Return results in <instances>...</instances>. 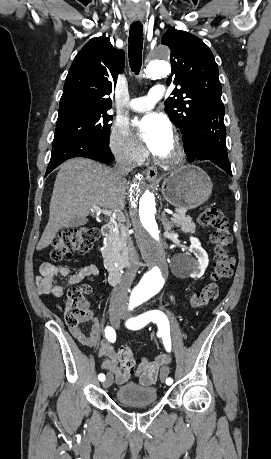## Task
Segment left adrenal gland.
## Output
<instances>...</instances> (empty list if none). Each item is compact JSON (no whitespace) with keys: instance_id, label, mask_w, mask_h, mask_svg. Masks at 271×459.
Listing matches in <instances>:
<instances>
[{"instance_id":"obj_1","label":"left adrenal gland","mask_w":271,"mask_h":459,"mask_svg":"<svg viewBox=\"0 0 271 459\" xmlns=\"http://www.w3.org/2000/svg\"><path fill=\"white\" fill-rule=\"evenodd\" d=\"M161 222L163 224V228L164 229H168V231H170V229L174 228V224L173 222H169L167 216H166V212H162L161 214Z\"/></svg>"}]
</instances>
